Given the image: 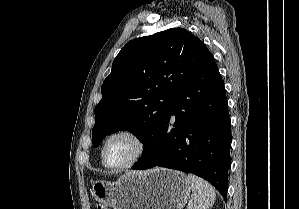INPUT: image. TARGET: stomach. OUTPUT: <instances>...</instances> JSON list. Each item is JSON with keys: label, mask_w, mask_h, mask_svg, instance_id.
<instances>
[{"label": "stomach", "mask_w": 299, "mask_h": 209, "mask_svg": "<svg viewBox=\"0 0 299 209\" xmlns=\"http://www.w3.org/2000/svg\"><path fill=\"white\" fill-rule=\"evenodd\" d=\"M190 192L186 174L166 168L129 172L116 182L91 181L101 209H182Z\"/></svg>", "instance_id": "obj_1"}]
</instances>
